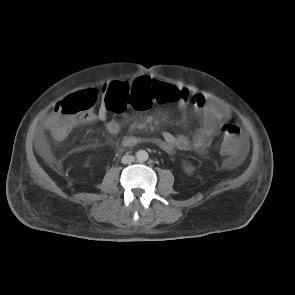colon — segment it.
I'll return each instance as SVG.
<instances>
[{"label":"colon","instance_id":"5ec220e1","mask_svg":"<svg viewBox=\"0 0 295 295\" xmlns=\"http://www.w3.org/2000/svg\"><path fill=\"white\" fill-rule=\"evenodd\" d=\"M174 86L159 82H142L136 87L126 83H112L104 91L107 106L117 112L124 111L129 104L131 110H153V102H171L176 99ZM98 98L95 89L76 92L55 106V119L50 133L56 140L69 136L74 128L90 113ZM222 148L227 153L236 152L241 144L240 129L236 125L224 128Z\"/></svg>","mask_w":295,"mask_h":295}]
</instances>
